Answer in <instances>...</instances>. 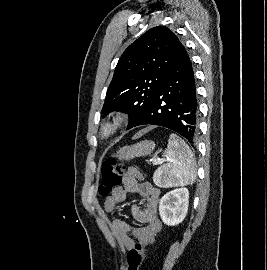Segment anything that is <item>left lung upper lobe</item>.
<instances>
[{
    "label": "left lung upper lobe",
    "instance_id": "obj_1",
    "mask_svg": "<svg viewBox=\"0 0 267 270\" xmlns=\"http://www.w3.org/2000/svg\"><path fill=\"white\" fill-rule=\"evenodd\" d=\"M180 46L165 26L154 27L133 42L118 61L101 113H128L127 129L134 127L164 82Z\"/></svg>",
    "mask_w": 267,
    "mask_h": 270
}]
</instances>
